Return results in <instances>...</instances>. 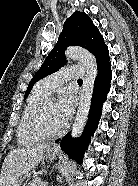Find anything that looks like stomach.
I'll use <instances>...</instances> for the list:
<instances>
[{
  "label": "stomach",
  "instance_id": "0dacf381",
  "mask_svg": "<svg viewBox=\"0 0 138 186\" xmlns=\"http://www.w3.org/2000/svg\"><path fill=\"white\" fill-rule=\"evenodd\" d=\"M59 155V150L57 148H48L46 156L49 159H55ZM28 175L22 177L16 186H29L28 180H27Z\"/></svg>",
  "mask_w": 138,
  "mask_h": 186
}]
</instances>
